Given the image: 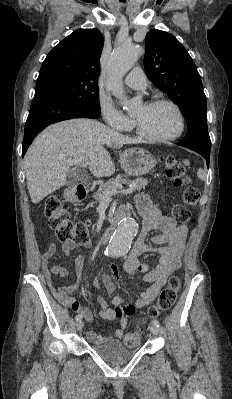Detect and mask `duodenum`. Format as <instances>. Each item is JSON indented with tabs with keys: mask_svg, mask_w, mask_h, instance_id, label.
Listing matches in <instances>:
<instances>
[{
	"mask_svg": "<svg viewBox=\"0 0 232 399\" xmlns=\"http://www.w3.org/2000/svg\"><path fill=\"white\" fill-rule=\"evenodd\" d=\"M88 194V189L83 184H78L70 189H68L65 193L66 200L69 202H79L86 198ZM116 228V224H111L107 227L102 234L100 235L99 239L101 242L106 243L112 237Z\"/></svg>",
	"mask_w": 232,
	"mask_h": 399,
	"instance_id": "duodenum-1",
	"label": "duodenum"
}]
</instances>
